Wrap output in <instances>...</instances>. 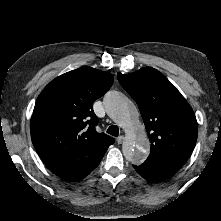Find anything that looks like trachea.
Masks as SVG:
<instances>
[{"instance_id":"1","label":"trachea","mask_w":221,"mask_h":221,"mask_svg":"<svg viewBox=\"0 0 221 221\" xmlns=\"http://www.w3.org/2000/svg\"><path fill=\"white\" fill-rule=\"evenodd\" d=\"M107 133L117 137L119 135L118 126L116 125L109 126V128L107 129Z\"/></svg>"}]
</instances>
